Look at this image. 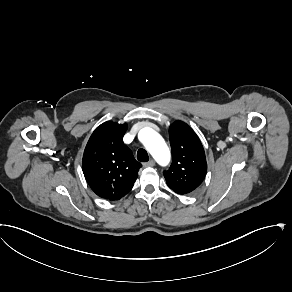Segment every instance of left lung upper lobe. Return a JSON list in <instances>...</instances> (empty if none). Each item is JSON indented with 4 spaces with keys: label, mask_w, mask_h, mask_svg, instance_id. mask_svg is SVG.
<instances>
[{
    "label": "left lung upper lobe",
    "mask_w": 292,
    "mask_h": 292,
    "mask_svg": "<svg viewBox=\"0 0 292 292\" xmlns=\"http://www.w3.org/2000/svg\"><path fill=\"white\" fill-rule=\"evenodd\" d=\"M172 164L164 171L167 185L178 194L194 191L204 180L207 162L204 148L194 131L184 122L169 127Z\"/></svg>",
    "instance_id": "1"
}]
</instances>
